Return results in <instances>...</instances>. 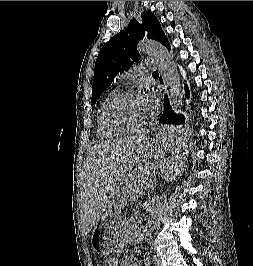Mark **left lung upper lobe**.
I'll list each match as a JSON object with an SVG mask.
<instances>
[{
	"label": "left lung upper lobe",
	"instance_id": "1",
	"mask_svg": "<svg viewBox=\"0 0 253 266\" xmlns=\"http://www.w3.org/2000/svg\"><path fill=\"white\" fill-rule=\"evenodd\" d=\"M141 17L142 25L132 19L126 30H121L102 47L95 62L91 98L93 104L111 85L118 73L127 71L134 61L139 59L137 44L143 39L144 31H147L149 39L162 44L166 41L167 37L152 13L143 12Z\"/></svg>",
	"mask_w": 253,
	"mask_h": 266
}]
</instances>
